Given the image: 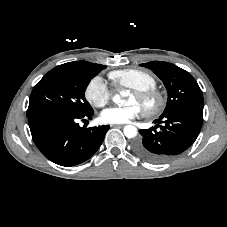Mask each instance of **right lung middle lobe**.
<instances>
[{
    "instance_id": "1",
    "label": "right lung middle lobe",
    "mask_w": 227,
    "mask_h": 227,
    "mask_svg": "<svg viewBox=\"0 0 227 227\" xmlns=\"http://www.w3.org/2000/svg\"><path fill=\"white\" fill-rule=\"evenodd\" d=\"M106 66L86 61L59 65L34 86L29 99L27 117L40 112L84 114L92 109L85 99L90 78Z\"/></svg>"
}]
</instances>
